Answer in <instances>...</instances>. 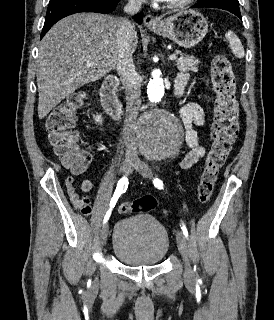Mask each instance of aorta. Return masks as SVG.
<instances>
[{"instance_id": "aorta-1", "label": "aorta", "mask_w": 274, "mask_h": 320, "mask_svg": "<svg viewBox=\"0 0 274 320\" xmlns=\"http://www.w3.org/2000/svg\"><path fill=\"white\" fill-rule=\"evenodd\" d=\"M160 72L155 70L147 86L152 108L136 125L137 142L142 154L152 159L170 156L179 144L182 126L170 112L159 107L164 101L165 87Z\"/></svg>"}]
</instances>
